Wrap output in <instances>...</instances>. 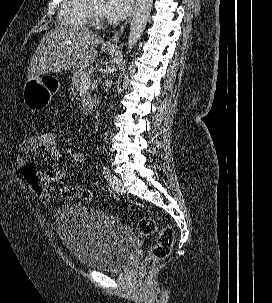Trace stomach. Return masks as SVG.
I'll list each match as a JSON object with an SVG mask.
<instances>
[{
    "label": "stomach",
    "instance_id": "stomach-1",
    "mask_svg": "<svg viewBox=\"0 0 272 303\" xmlns=\"http://www.w3.org/2000/svg\"><path fill=\"white\" fill-rule=\"evenodd\" d=\"M104 51L112 53L114 49L104 47ZM57 90L58 82L55 77L41 75L28 78L22 90L24 104L30 109L45 108Z\"/></svg>",
    "mask_w": 272,
    "mask_h": 303
}]
</instances>
